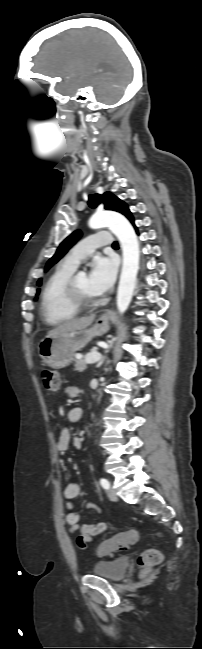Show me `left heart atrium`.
<instances>
[{
	"instance_id": "1",
	"label": "left heart atrium",
	"mask_w": 202,
	"mask_h": 649,
	"mask_svg": "<svg viewBox=\"0 0 202 649\" xmlns=\"http://www.w3.org/2000/svg\"><path fill=\"white\" fill-rule=\"evenodd\" d=\"M117 264L112 258L97 257L91 264L88 282L94 295L107 292L116 279Z\"/></svg>"
}]
</instances>
